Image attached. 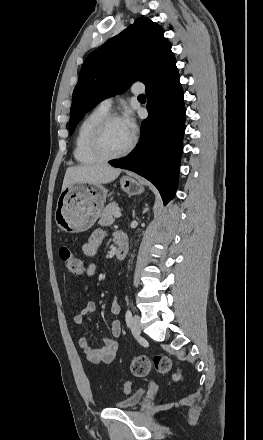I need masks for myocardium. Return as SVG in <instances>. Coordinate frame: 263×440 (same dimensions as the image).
<instances>
[{
	"instance_id": "myocardium-1",
	"label": "myocardium",
	"mask_w": 263,
	"mask_h": 440,
	"mask_svg": "<svg viewBox=\"0 0 263 440\" xmlns=\"http://www.w3.org/2000/svg\"><path fill=\"white\" fill-rule=\"evenodd\" d=\"M122 120L118 114L108 113L102 117L93 127L90 135V148L91 151L99 157L101 160H114L126 156L134 147L136 143V137L131 135V139L127 146L117 153H110L105 149L103 142V135L106 127L114 121Z\"/></svg>"
}]
</instances>
